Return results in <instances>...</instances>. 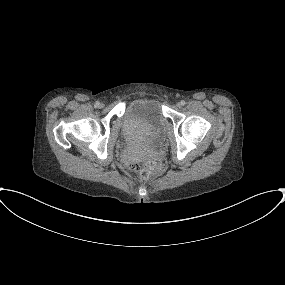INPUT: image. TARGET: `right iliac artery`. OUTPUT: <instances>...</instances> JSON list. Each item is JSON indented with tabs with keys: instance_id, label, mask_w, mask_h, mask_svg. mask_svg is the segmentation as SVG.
Here are the masks:
<instances>
[{
	"instance_id": "obj_1",
	"label": "right iliac artery",
	"mask_w": 285,
	"mask_h": 285,
	"mask_svg": "<svg viewBox=\"0 0 285 285\" xmlns=\"http://www.w3.org/2000/svg\"><path fill=\"white\" fill-rule=\"evenodd\" d=\"M98 105H99V102L97 101V102L95 103V107H98Z\"/></svg>"
}]
</instances>
